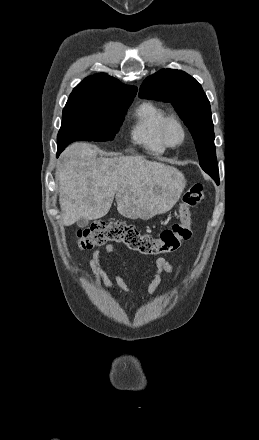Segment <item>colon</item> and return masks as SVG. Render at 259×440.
<instances>
[{"label":"colon","mask_w":259,"mask_h":440,"mask_svg":"<svg viewBox=\"0 0 259 440\" xmlns=\"http://www.w3.org/2000/svg\"><path fill=\"white\" fill-rule=\"evenodd\" d=\"M204 198L203 186L199 183L192 185L183 195L178 222L161 231L158 236L143 233L123 221H97L78 232V245L83 250H89L107 242H116L143 255L173 253L179 249L182 242L190 239L191 209Z\"/></svg>","instance_id":"5ec220e1"}]
</instances>
